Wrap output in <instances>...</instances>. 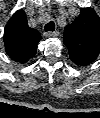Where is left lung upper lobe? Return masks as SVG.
<instances>
[{
  "label": "left lung upper lobe",
  "mask_w": 100,
  "mask_h": 118,
  "mask_svg": "<svg viewBox=\"0 0 100 118\" xmlns=\"http://www.w3.org/2000/svg\"><path fill=\"white\" fill-rule=\"evenodd\" d=\"M64 44L70 59L77 65H89L98 57L100 19L92 8H83L74 22L66 26Z\"/></svg>",
  "instance_id": "left-lung-upper-lobe-1"
}]
</instances>
